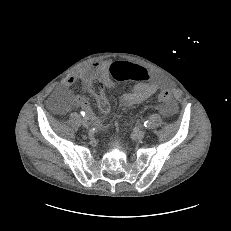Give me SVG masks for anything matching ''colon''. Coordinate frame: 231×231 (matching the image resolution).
Listing matches in <instances>:
<instances>
[{
	"instance_id": "colon-1",
	"label": "colon",
	"mask_w": 231,
	"mask_h": 231,
	"mask_svg": "<svg viewBox=\"0 0 231 231\" xmlns=\"http://www.w3.org/2000/svg\"><path fill=\"white\" fill-rule=\"evenodd\" d=\"M109 73L112 79L119 82L126 80L141 81L147 78V72L142 66L127 61L113 63L109 68ZM90 89L98 98L100 110L107 113L110 110V104L104 95V82L99 78H95L90 84ZM158 99L161 102H169L171 94L167 90L162 91L158 95Z\"/></svg>"
}]
</instances>
